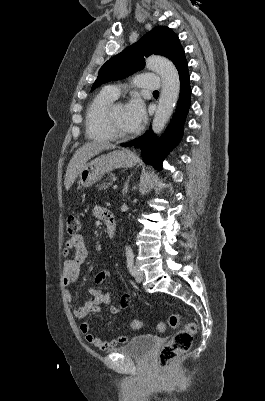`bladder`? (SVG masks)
Returning a JSON list of instances; mask_svg holds the SVG:
<instances>
[{
  "label": "bladder",
  "instance_id": "1",
  "mask_svg": "<svg viewBox=\"0 0 265 401\" xmlns=\"http://www.w3.org/2000/svg\"><path fill=\"white\" fill-rule=\"evenodd\" d=\"M154 344V338L150 335L134 336L126 346L112 349L110 352L117 351L125 357L130 356L133 358L146 359Z\"/></svg>",
  "mask_w": 265,
  "mask_h": 401
}]
</instances>
